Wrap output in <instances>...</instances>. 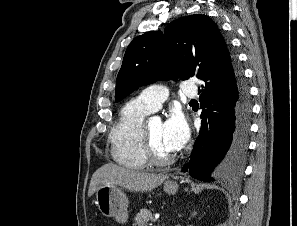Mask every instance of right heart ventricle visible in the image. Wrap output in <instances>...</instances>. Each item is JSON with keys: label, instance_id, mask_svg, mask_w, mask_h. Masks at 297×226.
Instances as JSON below:
<instances>
[{"label": "right heart ventricle", "instance_id": "right-heart-ventricle-1", "mask_svg": "<svg viewBox=\"0 0 297 226\" xmlns=\"http://www.w3.org/2000/svg\"><path fill=\"white\" fill-rule=\"evenodd\" d=\"M151 112L138 98L128 101L122 107L110 132L111 155L119 165L130 169H143L147 166L140 131L145 117Z\"/></svg>", "mask_w": 297, "mask_h": 226}]
</instances>
